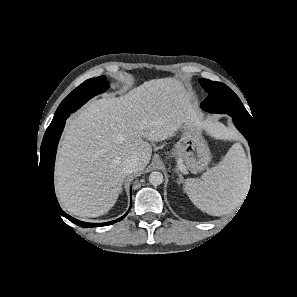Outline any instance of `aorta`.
<instances>
[{"label": "aorta", "mask_w": 297, "mask_h": 297, "mask_svg": "<svg viewBox=\"0 0 297 297\" xmlns=\"http://www.w3.org/2000/svg\"><path fill=\"white\" fill-rule=\"evenodd\" d=\"M149 182L153 186H158V185L162 184V182H163V175H162V173L161 172H158V171H154V172L150 173V175H149Z\"/></svg>", "instance_id": "obj_1"}]
</instances>
